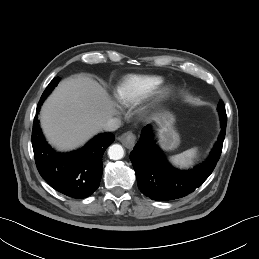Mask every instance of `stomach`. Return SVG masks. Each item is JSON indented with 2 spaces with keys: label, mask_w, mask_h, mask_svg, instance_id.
Wrapping results in <instances>:
<instances>
[{
  "label": "stomach",
  "mask_w": 259,
  "mask_h": 259,
  "mask_svg": "<svg viewBox=\"0 0 259 259\" xmlns=\"http://www.w3.org/2000/svg\"><path fill=\"white\" fill-rule=\"evenodd\" d=\"M154 118L160 126L159 138L161 146L166 150L177 147L179 136L173 129L174 116L168 111H163L155 114Z\"/></svg>",
  "instance_id": "stomach-1"
}]
</instances>
